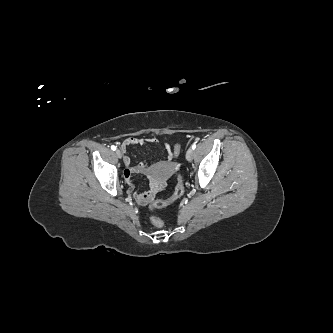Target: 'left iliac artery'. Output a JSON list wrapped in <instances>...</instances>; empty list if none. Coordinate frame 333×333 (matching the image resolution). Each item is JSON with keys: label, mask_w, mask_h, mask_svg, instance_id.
I'll return each instance as SVG.
<instances>
[{"label": "left iliac artery", "mask_w": 333, "mask_h": 333, "mask_svg": "<svg viewBox=\"0 0 333 333\" xmlns=\"http://www.w3.org/2000/svg\"><path fill=\"white\" fill-rule=\"evenodd\" d=\"M191 147H192V149L194 150V149L196 148V144L193 143Z\"/></svg>", "instance_id": "obj_1"}]
</instances>
